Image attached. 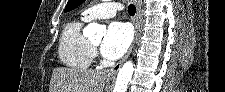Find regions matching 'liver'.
<instances>
[{
  "instance_id": "1",
  "label": "liver",
  "mask_w": 225,
  "mask_h": 92,
  "mask_svg": "<svg viewBox=\"0 0 225 92\" xmlns=\"http://www.w3.org/2000/svg\"><path fill=\"white\" fill-rule=\"evenodd\" d=\"M106 70L58 67L52 72L49 92H103Z\"/></svg>"
}]
</instances>
